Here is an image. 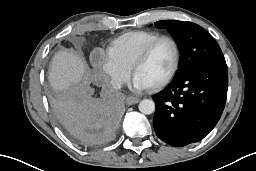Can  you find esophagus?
<instances>
[{
  "label": "esophagus",
  "mask_w": 256,
  "mask_h": 171,
  "mask_svg": "<svg viewBox=\"0 0 256 171\" xmlns=\"http://www.w3.org/2000/svg\"><path fill=\"white\" fill-rule=\"evenodd\" d=\"M138 102H139V98H137V97L128 96L126 98L127 105H134V104H137Z\"/></svg>",
  "instance_id": "esophagus-1"
}]
</instances>
